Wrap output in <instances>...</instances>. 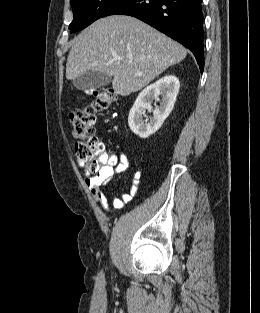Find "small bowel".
<instances>
[{"instance_id":"1","label":"small bowel","mask_w":260,"mask_h":313,"mask_svg":"<svg viewBox=\"0 0 260 313\" xmlns=\"http://www.w3.org/2000/svg\"><path fill=\"white\" fill-rule=\"evenodd\" d=\"M104 159L109 161V164L101 168L95 175H90L85 171L84 165L80 162L77 163L80 170L85 172L84 183L89 188L91 195L105 212L110 211L109 200L103 192V185L111 180L114 175L124 173L129 166L128 158L123 151H119L113 157L105 154ZM141 179V173L135 172L132 177V186L130 191L123 193L120 197H112V205L116 210H122L128 202L135 195Z\"/></svg>"}]
</instances>
